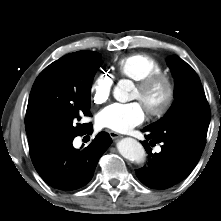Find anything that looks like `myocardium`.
<instances>
[{
    "label": "myocardium",
    "mask_w": 221,
    "mask_h": 221,
    "mask_svg": "<svg viewBox=\"0 0 221 221\" xmlns=\"http://www.w3.org/2000/svg\"><path fill=\"white\" fill-rule=\"evenodd\" d=\"M160 83L163 84L166 89L165 98L162 104L157 107H146L147 112L153 117H161L165 115L172 107L176 93L174 80L169 73L158 71L137 81V87L144 93H147L150 89Z\"/></svg>",
    "instance_id": "f54148a6"
}]
</instances>
